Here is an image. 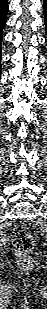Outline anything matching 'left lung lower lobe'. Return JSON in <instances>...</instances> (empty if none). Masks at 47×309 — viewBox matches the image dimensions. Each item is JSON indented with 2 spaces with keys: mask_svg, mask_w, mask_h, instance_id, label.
I'll return each mask as SVG.
<instances>
[{
  "mask_svg": "<svg viewBox=\"0 0 47 309\" xmlns=\"http://www.w3.org/2000/svg\"><path fill=\"white\" fill-rule=\"evenodd\" d=\"M44 18H45V23H46V29H47V0H44Z\"/></svg>",
  "mask_w": 47,
  "mask_h": 309,
  "instance_id": "obj_1",
  "label": "left lung lower lobe"
}]
</instances>
